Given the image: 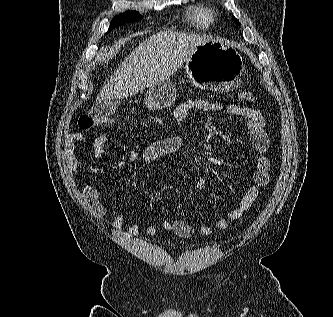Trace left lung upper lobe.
I'll return each instance as SVG.
<instances>
[{"label":"left lung upper lobe","mask_w":333,"mask_h":317,"mask_svg":"<svg viewBox=\"0 0 333 317\" xmlns=\"http://www.w3.org/2000/svg\"><path fill=\"white\" fill-rule=\"evenodd\" d=\"M233 19H234V21L239 22L236 18L233 17Z\"/></svg>","instance_id":"1"}]
</instances>
